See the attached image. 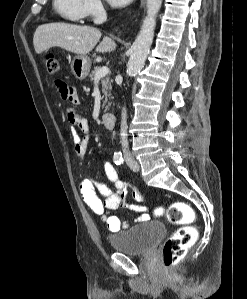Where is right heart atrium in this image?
<instances>
[{
	"label": "right heart atrium",
	"instance_id": "d8ad5b80",
	"mask_svg": "<svg viewBox=\"0 0 247 299\" xmlns=\"http://www.w3.org/2000/svg\"><path fill=\"white\" fill-rule=\"evenodd\" d=\"M86 16L97 19L102 16L104 6L101 0H85Z\"/></svg>",
	"mask_w": 247,
	"mask_h": 299
}]
</instances>
